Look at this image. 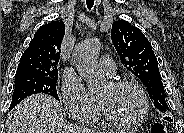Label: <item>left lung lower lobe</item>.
Wrapping results in <instances>:
<instances>
[{"mask_svg": "<svg viewBox=\"0 0 184 133\" xmlns=\"http://www.w3.org/2000/svg\"><path fill=\"white\" fill-rule=\"evenodd\" d=\"M165 119L168 121H173L170 117H165Z\"/></svg>", "mask_w": 184, "mask_h": 133, "instance_id": "obj_1", "label": "left lung lower lobe"}]
</instances>
